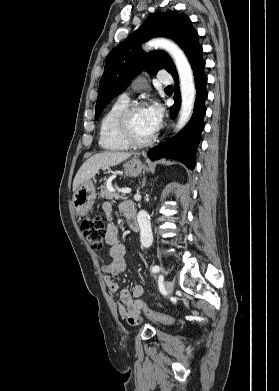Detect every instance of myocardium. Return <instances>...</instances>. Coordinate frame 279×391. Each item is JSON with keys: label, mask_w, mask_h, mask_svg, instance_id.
<instances>
[{"label": "myocardium", "mask_w": 279, "mask_h": 391, "mask_svg": "<svg viewBox=\"0 0 279 391\" xmlns=\"http://www.w3.org/2000/svg\"><path fill=\"white\" fill-rule=\"evenodd\" d=\"M142 108H145V104L143 102H129L127 106L120 112L117 119L118 134L120 138L130 147L141 148L148 146L155 141L158 135V127L150 137L144 140H139L133 135L131 129V117L135 111Z\"/></svg>", "instance_id": "f54148a6"}]
</instances>
